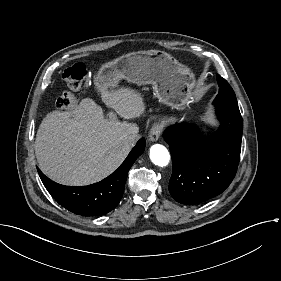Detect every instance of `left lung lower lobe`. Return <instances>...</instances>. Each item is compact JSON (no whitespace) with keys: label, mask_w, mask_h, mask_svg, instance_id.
Wrapping results in <instances>:
<instances>
[{"label":"left lung lower lobe","mask_w":281,"mask_h":281,"mask_svg":"<svg viewBox=\"0 0 281 281\" xmlns=\"http://www.w3.org/2000/svg\"><path fill=\"white\" fill-rule=\"evenodd\" d=\"M214 105L221 126L211 138L189 123L169 126L163 134L172 157L169 192L179 203L194 205L219 195L236 174L243 131L238 103Z\"/></svg>","instance_id":"obj_1"}]
</instances>
